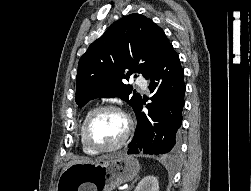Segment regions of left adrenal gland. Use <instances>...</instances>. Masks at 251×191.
Segmentation results:
<instances>
[{
  "instance_id": "left-adrenal-gland-1",
  "label": "left adrenal gland",
  "mask_w": 251,
  "mask_h": 191,
  "mask_svg": "<svg viewBox=\"0 0 251 191\" xmlns=\"http://www.w3.org/2000/svg\"><path fill=\"white\" fill-rule=\"evenodd\" d=\"M137 179H139V177H136V179H134V181H132V183H130L128 189H131V187H134V183H135V181H137Z\"/></svg>"
}]
</instances>
